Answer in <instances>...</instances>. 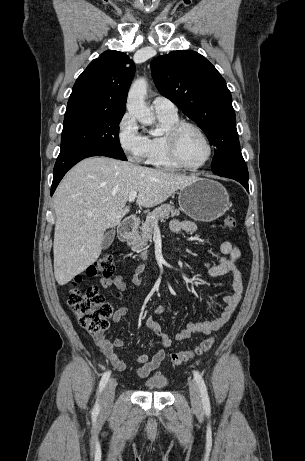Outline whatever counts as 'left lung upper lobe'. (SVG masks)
Returning <instances> with one entry per match:
<instances>
[{"label":"left lung upper lobe","mask_w":305,"mask_h":461,"mask_svg":"<svg viewBox=\"0 0 305 461\" xmlns=\"http://www.w3.org/2000/svg\"><path fill=\"white\" fill-rule=\"evenodd\" d=\"M151 72L160 93L196 122L215 146L212 172L247 178L231 93L215 67L199 53L182 50L154 59Z\"/></svg>","instance_id":"obj_1"}]
</instances>
